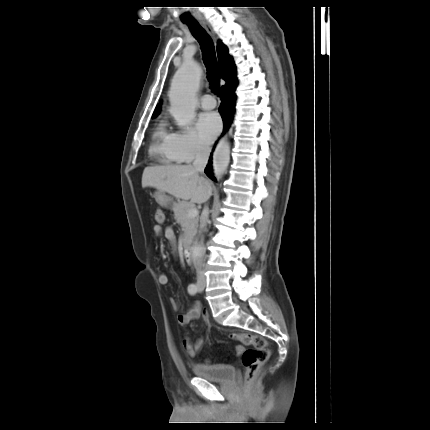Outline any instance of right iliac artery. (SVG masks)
I'll return each mask as SVG.
<instances>
[{
  "mask_svg": "<svg viewBox=\"0 0 430 430\" xmlns=\"http://www.w3.org/2000/svg\"><path fill=\"white\" fill-rule=\"evenodd\" d=\"M197 291H198V286H197V284H190L189 286H188V293L190 294V295H195L196 293H197Z\"/></svg>",
  "mask_w": 430,
  "mask_h": 430,
  "instance_id": "right-iliac-artery-1",
  "label": "right iliac artery"
}]
</instances>
